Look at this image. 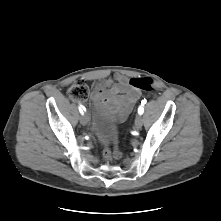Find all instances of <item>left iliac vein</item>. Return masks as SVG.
<instances>
[{"label": "left iliac vein", "mask_w": 221, "mask_h": 221, "mask_svg": "<svg viewBox=\"0 0 221 221\" xmlns=\"http://www.w3.org/2000/svg\"><path fill=\"white\" fill-rule=\"evenodd\" d=\"M142 125H143L142 116L141 115H137V117L135 119V123H134L135 129L136 130L141 129Z\"/></svg>", "instance_id": "4c4485c4"}]
</instances>
